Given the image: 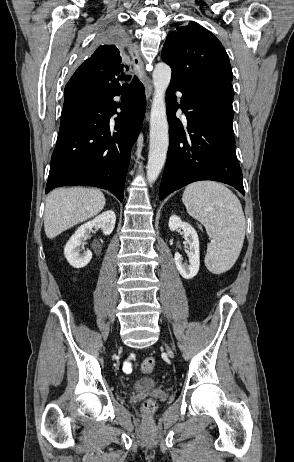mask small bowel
Returning <instances> with one entry per match:
<instances>
[{
	"mask_svg": "<svg viewBox=\"0 0 294 462\" xmlns=\"http://www.w3.org/2000/svg\"><path fill=\"white\" fill-rule=\"evenodd\" d=\"M132 359H134L133 354L130 356V359L125 361L124 364H123V371L126 374H130L133 371L134 367H135V365L131 362Z\"/></svg>",
	"mask_w": 294,
	"mask_h": 462,
	"instance_id": "1",
	"label": "small bowel"
}]
</instances>
